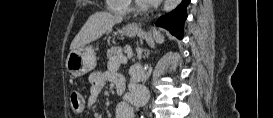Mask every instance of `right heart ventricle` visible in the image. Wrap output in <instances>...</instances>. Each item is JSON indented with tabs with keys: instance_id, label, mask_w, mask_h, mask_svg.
<instances>
[{
	"instance_id": "obj_1",
	"label": "right heart ventricle",
	"mask_w": 273,
	"mask_h": 118,
	"mask_svg": "<svg viewBox=\"0 0 273 118\" xmlns=\"http://www.w3.org/2000/svg\"><path fill=\"white\" fill-rule=\"evenodd\" d=\"M110 7L114 12L124 13L128 9V1L125 0H110Z\"/></svg>"
}]
</instances>
